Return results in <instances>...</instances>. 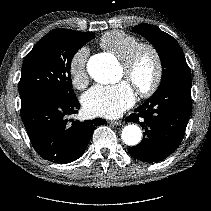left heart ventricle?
Returning <instances> with one entry per match:
<instances>
[{"instance_id":"left-heart-ventricle-1","label":"left heart ventricle","mask_w":211,"mask_h":211,"mask_svg":"<svg viewBox=\"0 0 211 211\" xmlns=\"http://www.w3.org/2000/svg\"><path fill=\"white\" fill-rule=\"evenodd\" d=\"M154 60L152 55L143 52L131 72H127L122 66L121 77L126 78L135 88L147 86L154 75Z\"/></svg>"}]
</instances>
